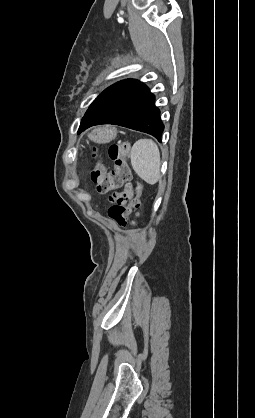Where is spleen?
I'll return each mask as SVG.
<instances>
[{
    "mask_svg": "<svg viewBox=\"0 0 255 418\" xmlns=\"http://www.w3.org/2000/svg\"><path fill=\"white\" fill-rule=\"evenodd\" d=\"M131 165L136 174L150 185L160 179V152L156 143L151 139H139L131 149Z\"/></svg>",
    "mask_w": 255,
    "mask_h": 418,
    "instance_id": "obj_1",
    "label": "spleen"
}]
</instances>
